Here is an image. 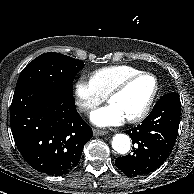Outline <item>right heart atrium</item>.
I'll use <instances>...</instances> for the list:
<instances>
[{
	"instance_id": "right-heart-atrium-1",
	"label": "right heart atrium",
	"mask_w": 194,
	"mask_h": 194,
	"mask_svg": "<svg viewBox=\"0 0 194 194\" xmlns=\"http://www.w3.org/2000/svg\"><path fill=\"white\" fill-rule=\"evenodd\" d=\"M73 93L78 109L84 114H89L103 102V97L96 91L92 82L85 77H80L75 81Z\"/></svg>"
}]
</instances>
